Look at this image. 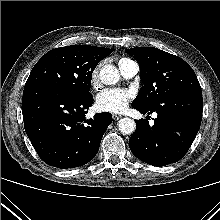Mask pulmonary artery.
I'll return each mask as SVG.
<instances>
[{"mask_svg": "<svg viewBox=\"0 0 220 220\" xmlns=\"http://www.w3.org/2000/svg\"><path fill=\"white\" fill-rule=\"evenodd\" d=\"M119 69L125 78H132L139 71L138 64L132 60H127L120 63Z\"/></svg>", "mask_w": 220, "mask_h": 220, "instance_id": "obj_1", "label": "pulmonary artery"}]
</instances>
